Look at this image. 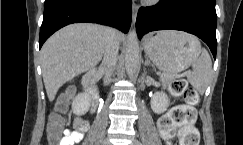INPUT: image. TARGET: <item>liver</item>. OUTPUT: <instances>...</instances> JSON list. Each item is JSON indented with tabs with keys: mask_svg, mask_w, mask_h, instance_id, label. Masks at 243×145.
Segmentation results:
<instances>
[{
	"mask_svg": "<svg viewBox=\"0 0 243 145\" xmlns=\"http://www.w3.org/2000/svg\"><path fill=\"white\" fill-rule=\"evenodd\" d=\"M109 28L96 24L68 25L52 35L41 49V68L50 102L60 87L94 68L105 51ZM119 41L123 39L117 33Z\"/></svg>",
	"mask_w": 243,
	"mask_h": 145,
	"instance_id": "obj_1",
	"label": "liver"
}]
</instances>
